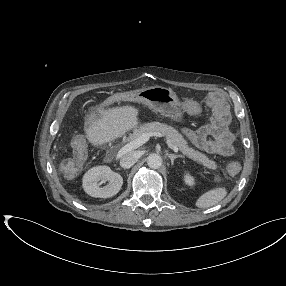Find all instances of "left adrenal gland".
Listing matches in <instances>:
<instances>
[{
    "label": "left adrenal gland",
    "mask_w": 286,
    "mask_h": 286,
    "mask_svg": "<svg viewBox=\"0 0 286 286\" xmlns=\"http://www.w3.org/2000/svg\"><path fill=\"white\" fill-rule=\"evenodd\" d=\"M167 155H168V157L170 158L172 165L174 164V160H175L176 158H183V156L180 155V154H167Z\"/></svg>",
    "instance_id": "obj_1"
}]
</instances>
